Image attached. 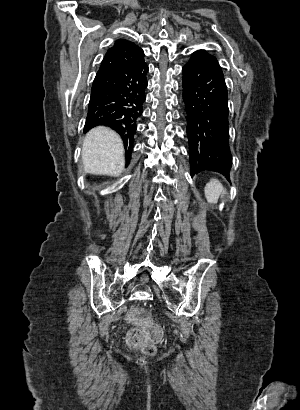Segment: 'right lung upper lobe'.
Returning <instances> with one entry per match:
<instances>
[{
	"instance_id": "obj_1",
	"label": "right lung upper lobe",
	"mask_w": 300,
	"mask_h": 410,
	"mask_svg": "<svg viewBox=\"0 0 300 410\" xmlns=\"http://www.w3.org/2000/svg\"><path fill=\"white\" fill-rule=\"evenodd\" d=\"M143 59L144 53L141 48L131 41L119 39L116 40L113 47L107 51L98 72L106 71L125 63L136 62Z\"/></svg>"
}]
</instances>
